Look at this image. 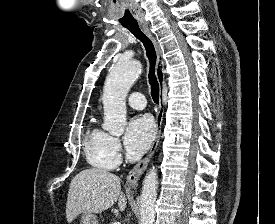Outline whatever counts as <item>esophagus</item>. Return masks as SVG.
Listing matches in <instances>:
<instances>
[{
  "mask_svg": "<svg viewBox=\"0 0 275 224\" xmlns=\"http://www.w3.org/2000/svg\"><path fill=\"white\" fill-rule=\"evenodd\" d=\"M141 27L144 33L151 38L156 49V53H157L156 76L160 86V95H159V111L156 116V128H157L156 137L151 145V148L148 154L138 164H136L133 167V169L128 173L127 184L131 187L137 186L140 176L145 171L150 159L152 158L158 146L160 135H161V126L163 121L164 105H165V69H164V60L162 56V50L158 42L156 41L155 37L150 32L148 25L145 21L141 22Z\"/></svg>",
  "mask_w": 275,
  "mask_h": 224,
  "instance_id": "34e87169",
  "label": "esophagus"
}]
</instances>
